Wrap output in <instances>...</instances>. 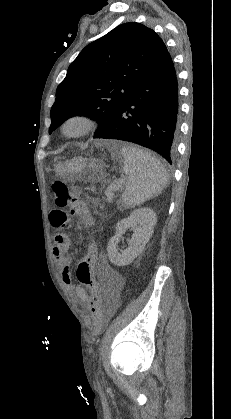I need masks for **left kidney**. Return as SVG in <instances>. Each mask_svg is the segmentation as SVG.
I'll list each match as a JSON object with an SVG mask.
<instances>
[{
    "label": "left kidney",
    "mask_w": 231,
    "mask_h": 419,
    "mask_svg": "<svg viewBox=\"0 0 231 419\" xmlns=\"http://www.w3.org/2000/svg\"><path fill=\"white\" fill-rule=\"evenodd\" d=\"M157 222L155 213L150 208L136 209L131 214L118 222L116 233L107 246L109 260L116 266L130 264L144 249L146 243L152 236L154 226ZM134 228V234L129 242V246L118 252L117 245L121 235L129 228Z\"/></svg>",
    "instance_id": "left-kidney-1"
}]
</instances>
